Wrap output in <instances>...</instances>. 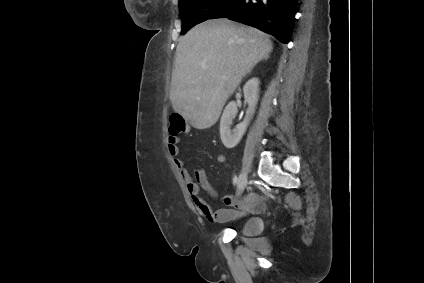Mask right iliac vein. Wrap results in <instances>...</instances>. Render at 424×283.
<instances>
[{
  "label": "right iliac vein",
  "instance_id": "right-iliac-vein-1",
  "mask_svg": "<svg viewBox=\"0 0 424 283\" xmlns=\"http://www.w3.org/2000/svg\"><path fill=\"white\" fill-rule=\"evenodd\" d=\"M246 184H247V173L245 170H242L238 179L237 195H240L244 191Z\"/></svg>",
  "mask_w": 424,
  "mask_h": 283
}]
</instances>
